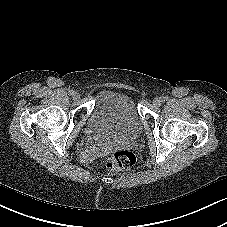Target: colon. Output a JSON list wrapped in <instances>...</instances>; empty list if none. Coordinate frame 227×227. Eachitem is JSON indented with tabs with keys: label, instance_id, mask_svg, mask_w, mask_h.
<instances>
[{
	"label": "colon",
	"instance_id": "5ec220e1",
	"mask_svg": "<svg viewBox=\"0 0 227 227\" xmlns=\"http://www.w3.org/2000/svg\"><path fill=\"white\" fill-rule=\"evenodd\" d=\"M136 162L134 153L128 150L117 151L105 158L108 170L115 171L133 166Z\"/></svg>",
	"mask_w": 227,
	"mask_h": 227
}]
</instances>
